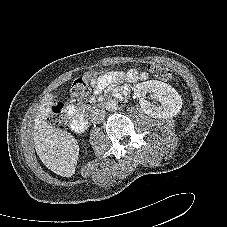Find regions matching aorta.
I'll return each mask as SVG.
<instances>
[{"mask_svg":"<svg viewBox=\"0 0 227 227\" xmlns=\"http://www.w3.org/2000/svg\"><path fill=\"white\" fill-rule=\"evenodd\" d=\"M105 108L109 112H114L118 109V103L115 100H109L106 102Z\"/></svg>","mask_w":227,"mask_h":227,"instance_id":"762f6f07","label":"aorta"}]
</instances>
